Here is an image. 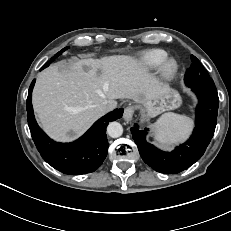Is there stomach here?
Listing matches in <instances>:
<instances>
[{
	"label": "stomach",
	"instance_id": "obj_1",
	"mask_svg": "<svg viewBox=\"0 0 231 231\" xmlns=\"http://www.w3.org/2000/svg\"><path fill=\"white\" fill-rule=\"evenodd\" d=\"M181 103L180 96L171 88L166 89L165 93L155 99L143 104L146 117L155 116L165 110L177 108Z\"/></svg>",
	"mask_w": 231,
	"mask_h": 231
}]
</instances>
